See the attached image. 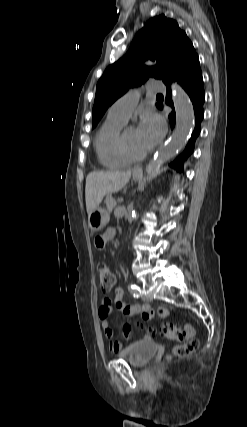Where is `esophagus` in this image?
<instances>
[{
	"label": "esophagus",
	"instance_id": "obj_1",
	"mask_svg": "<svg viewBox=\"0 0 247 427\" xmlns=\"http://www.w3.org/2000/svg\"><path fill=\"white\" fill-rule=\"evenodd\" d=\"M134 173L135 174H142V169L140 167H138L134 170Z\"/></svg>",
	"mask_w": 247,
	"mask_h": 427
}]
</instances>
